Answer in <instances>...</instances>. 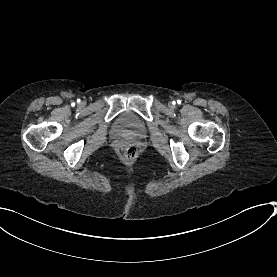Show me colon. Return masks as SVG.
Masks as SVG:
<instances>
[{
    "mask_svg": "<svg viewBox=\"0 0 277 277\" xmlns=\"http://www.w3.org/2000/svg\"><path fill=\"white\" fill-rule=\"evenodd\" d=\"M123 156L128 161H135L140 156V149L135 144H128L123 149Z\"/></svg>",
    "mask_w": 277,
    "mask_h": 277,
    "instance_id": "colon-1",
    "label": "colon"
}]
</instances>
